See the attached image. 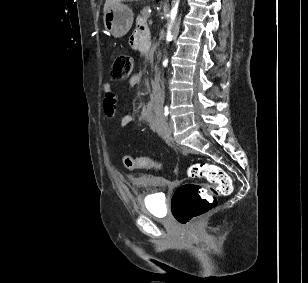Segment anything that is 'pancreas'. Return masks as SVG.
Masks as SVG:
<instances>
[{
    "label": "pancreas",
    "mask_w": 308,
    "mask_h": 283,
    "mask_svg": "<svg viewBox=\"0 0 308 283\" xmlns=\"http://www.w3.org/2000/svg\"><path fill=\"white\" fill-rule=\"evenodd\" d=\"M149 7H145L140 14L142 15V17L147 20L150 17V13H149Z\"/></svg>",
    "instance_id": "obj_1"
}]
</instances>
